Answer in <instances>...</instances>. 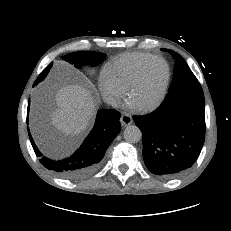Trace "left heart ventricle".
I'll return each instance as SVG.
<instances>
[{"label":"left heart ventricle","instance_id":"left-heart-ventricle-1","mask_svg":"<svg viewBox=\"0 0 231 231\" xmlns=\"http://www.w3.org/2000/svg\"><path fill=\"white\" fill-rule=\"evenodd\" d=\"M164 78V64L158 60L151 62L145 69L141 81L133 90L130 101L138 106L153 101L162 87Z\"/></svg>","mask_w":231,"mask_h":231}]
</instances>
